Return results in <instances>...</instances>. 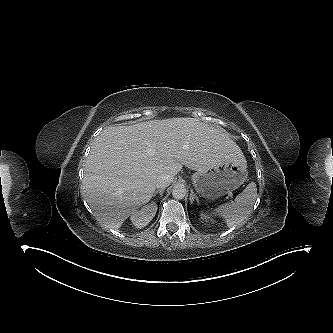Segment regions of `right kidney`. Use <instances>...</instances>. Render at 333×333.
Masks as SVG:
<instances>
[{"label":"right kidney","instance_id":"obj_1","mask_svg":"<svg viewBox=\"0 0 333 333\" xmlns=\"http://www.w3.org/2000/svg\"><path fill=\"white\" fill-rule=\"evenodd\" d=\"M157 212V204L152 202L145 205L140 210H136L131 214L130 220L137 228L145 227L155 216Z\"/></svg>","mask_w":333,"mask_h":333}]
</instances>
